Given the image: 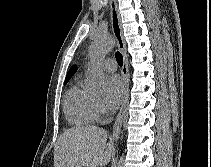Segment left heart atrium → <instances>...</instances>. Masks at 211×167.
I'll use <instances>...</instances> for the list:
<instances>
[{
  "instance_id": "39dd6f15",
  "label": "left heart atrium",
  "mask_w": 211,
  "mask_h": 167,
  "mask_svg": "<svg viewBox=\"0 0 211 167\" xmlns=\"http://www.w3.org/2000/svg\"><path fill=\"white\" fill-rule=\"evenodd\" d=\"M124 92V85L121 79L116 75H110L106 79V91L104 96V104L107 109H115Z\"/></svg>"
}]
</instances>
